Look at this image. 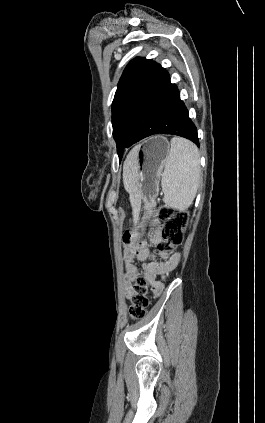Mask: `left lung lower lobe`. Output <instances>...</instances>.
<instances>
[{"instance_id": "0a47b994", "label": "left lung lower lobe", "mask_w": 265, "mask_h": 423, "mask_svg": "<svg viewBox=\"0 0 265 423\" xmlns=\"http://www.w3.org/2000/svg\"><path fill=\"white\" fill-rule=\"evenodd\" d=\"M159 133L182 136L199 146L197 129L177 86L170 82L168 72L154 62L134 99L123 149Z\"/></svg>"}]
</instances>
